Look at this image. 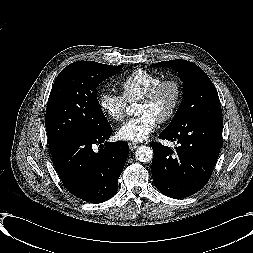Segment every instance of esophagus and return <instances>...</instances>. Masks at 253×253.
Instances as JSON below:
<instances>
[{
  "label": "esophagus",
  "instance_id": "obj_1",
  "mask_svg": "<svg viewBox=\"0 0 253 253\" xmlns=\"http://www.w3.org/2000/svg\"><path fill=\"white\" fill-rule=\"evenodd\" d=\"M138 146H139V144H137V143L129 142V148H130L131 150L136 149Z\"/></svg>",
  "mask_w": 253,
  "mask_h": 253
}]
</instances>
